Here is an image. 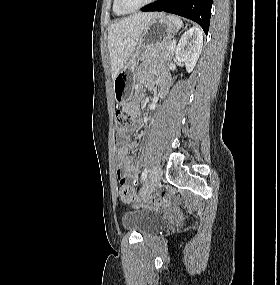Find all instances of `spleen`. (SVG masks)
<instances>
[{
	"label": "spleen",
	"instance_id": "spleen-1",
	"mask_svg": "<svg viewBox=\"0 0 280 285\" xmlns=\"http://www.w3.org/2000/svg\"><path fill=\"white\" fill-rule=\"evenodd\" d=\"M170 20L174 22V24L178 27L181 28L183 26V22L179 17L176 16H168Z\"/></svg>",
	"mask_w": 280,
	"mask_h": 285
}]
</instances>
